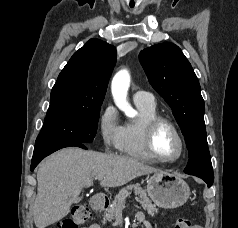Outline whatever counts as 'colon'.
Instances as JSON below:
<instances>
[{
    "label": "colon",
    "mask_w": 238,
    "mask_h": 228,
    "mask_svg": "<svg viewBox=\"0 0 238 228\" xmlns=\"http://www.w3.org/2000/svg\"><path fill=\"white\" fill-rule=\"evenodd\" d=\"M90 212L84 205H75L71 214L62 223L60 228H80L89 218ZM174 228H200L194 225L188 218L177 217Z\"/></svg>",
    "instance_id": "obj_1"
}]
</instances>
